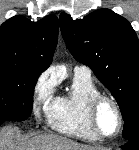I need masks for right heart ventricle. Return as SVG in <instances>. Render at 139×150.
I'll list each match as a JSON object with an SVG mask.
<instances>
[{
	"label": "right heart ventricle",
	"mask_w": 139,
	"mask_h": 150,
	"mask_svg": "<svg viewBox=\"0 0 139 150\" xmlns=\"http://www.w3.org/2000/svg\"><path fill=\"white\" fill-rule=\"evenodd\" d=\"M98 94L100 91L91 77L74 75L70 89L54 97L45 106L48 125L66 135L85 140H99L87 116L88 104Z\"/></svg>",
	"instance_id": "right-heart-ventricle-1"
}]
</instances>
